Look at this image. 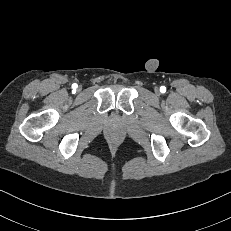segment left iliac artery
I'll list each match as a JSON object with an SVG mask.
<instances>
[{
    "mask_svg": "<svg viewBox=\"0 0 231 231\" xmlns=\"http://www.w3.org/2000/svg\"><path fill=\"white\" fill-rule=\"evenodd\" d=\"M160 91H161L162 93H164V92L166 91V87H165V86H161V87H160Z\"/></svg>",
    "mask_w": 231,
    "mask_h": 231,
    "instance_id": "44dca946",
    "label": "left iliac artery"
}]
</instances>
